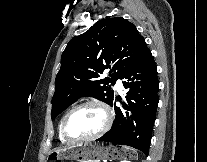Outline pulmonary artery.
<instances>
[{"instance_id": "pulmonary-artery-1", "label": "pulmonary artery", "mask_w": 207, "mask_h": 162, "mask_svg": "<svg viewBox=\"0 0 207 162\" xmlns=\"http://www.w3.org/2000/svg\"><path fill=\"white\" fill-rule=\"evenodd\" d=\"M115 88H116L119 92H121V91L123 90V83H122L121 80H118V81L116 82V84H115Z\"/></svg>"}]
</instances>
